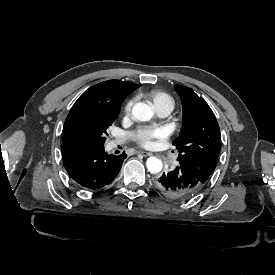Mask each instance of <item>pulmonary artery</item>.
I'll return each mask as SVG.
<instances>
[{
    "instance_id": "obj_1",
    "label": "pulmonary artery",
    "mask_w": 275,
    "mask_h": 275,
    "mask_svg": "<svg viewBox=\"0 0 275 275\" xmlns=\"http://www.w3.org/2000/svg\"><path fill=\"white\" fill-rule=\"evenodd\" d=\"M171 111V108L166 106V107H161L158 108V111L154 114V119L156 121H162V120H166L168 118V114ZM120 142L118 140H112L109 143V148L110 149H114ZM170 166L175 167L178 164L177 159L172 158L169 161Z\"/></svg>"
}]
</instances>
